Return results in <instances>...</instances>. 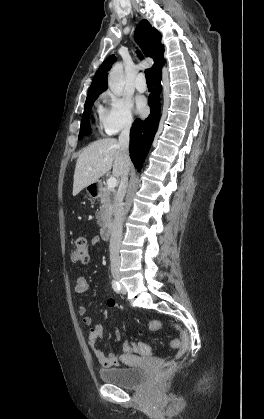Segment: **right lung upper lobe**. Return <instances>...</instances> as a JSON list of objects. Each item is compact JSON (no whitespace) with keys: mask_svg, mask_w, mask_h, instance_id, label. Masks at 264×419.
<instances>
[{"mask_svg":"<svg viewBox=\"0 0 264 419\" xmlns=\"http://www.w3.org/2000/svg\"><path fill=\"white\" fill-rule=\"evenodd\" d=\"M135 40L141 46L145 56L154 59L155 63L151 68L153 75L159 73L164 64V47L161 44V34L147 20H142L136 27ZM115 61L116 58L111 55L101 64L93 78L87 99L97 96L107 89L108 71Z\"/></svg>","mask_w":264,"mask_h":419,"instance_id":"obj_1","label":"right lung upper lobe"}]
</instances>
